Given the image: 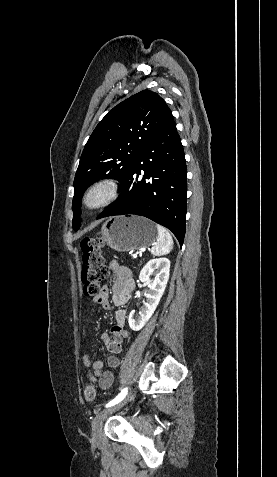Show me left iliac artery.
<instances>
[{
	"instance_id": "44dca946",
	"label": "left iliac artery",
	"mask_w": 277,
	"mask_h": 477,
	"mask_svg": "<svg viewBox=\"0 0 277 477\" xmlns=\"http://www.w3.org/2000/svg\"><path fill=\"white\" fill-rule=\"evenodd\" d=\"M127 391L128 389L127 388H124L121 393L116 396L113 400H111L108 404H106L105 407H110V406H113L115 404H117L118 402H120L127 394Z\"/></svg>"
}]
</instances>
